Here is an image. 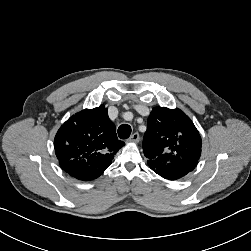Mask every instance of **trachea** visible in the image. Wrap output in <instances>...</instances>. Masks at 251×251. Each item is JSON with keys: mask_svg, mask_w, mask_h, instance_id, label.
Instances as JSON below:
<instances>
[{"mask_svg": "<svg viewBox=\"0 0 251 251\" xmlns=\"http://www.w3.org/2000/svg\"><path fill=\"white\" fill-rule=\"evenodd\" d=\"M131 134V127L128 124H122L118 128V136L121 139H127L129 138Z\"/></svg>", "mask_w": 251, "mask_h": 251, "instance_id": "3493384b", "label": "trachea"}]
</instances>
